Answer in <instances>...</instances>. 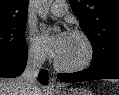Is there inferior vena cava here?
Returning <instances> with one entry per match:
<instances>
[{"label":"inferior vena cava","mask_w":119,"mask_h":95,"mask_svg":"<svg viewBox=\"0 0 119 95\" xmlns=\"http://www.w3.org/2000/svg\"><path fill=\"white\" fill-rule=\"evenodd\" d=\"M45 60V55L40 52L28 54L27 65L19 77V84L24 95H34L37 87V77Z\"/></svg>","instance_id":"obj_1"}]
</instances>
